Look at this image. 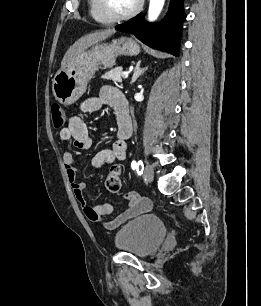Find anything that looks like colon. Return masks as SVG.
<instances>
[{
    "label": "colon",
    "instance_id": "obj_1",
    "mask_svg": "<svg viewBox=\"0 0 261 306\" xmlns=\"http://www.w3.org/2000/svg\"><path fill=\"white\" fill-rule=\"evenodd\" d=\"M51 115L53 124L56 128L64 125L66 114L64 109L59 104H53L51 107ZM105 185L108 191L112 193L119 192L121 188V171L118 165H113L106 177Z\"/></svg>",
    "mask_w": 261,
    "mask_h": 306
}]
</instances>
